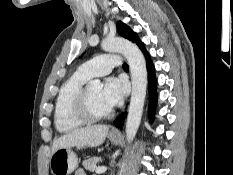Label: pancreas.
<instances>
[{
	"label": "pancreas",
	"mask_w": 233,
	"mask_h": 175,
	"mask_svg": "<svg viewBox=\"0 0 233 175\" xmlns=\"http://www.w3.org/2000/svg\"><path fill=\"white\" fill-rule=\"evenodd\" d=\"M100 161H102V159L99 157H91L87 160H84L82 164L86 170L94 171L97 168L96 164Z\"/></svg>",
	"instance_id": "pancreas-1"
}]
</instances>
